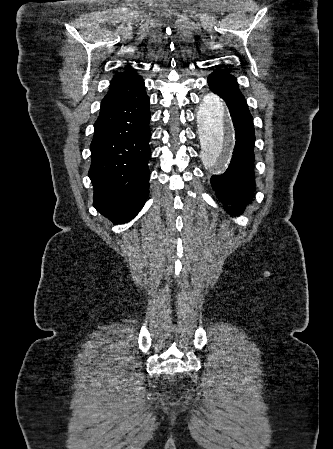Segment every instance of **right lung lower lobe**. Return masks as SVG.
<instances>
[{"instance_id": "obj_1", "label": "right lung lower lobe", "mask_w": 333, "mask_h": 449, "mask_svg": "<svg viewBox=\"0 0 333 449\" xmlns=\"http://www.w3.org/2000/svg\"><path fill=\"white\" fill-rule=\"evenodd\" d=\"M150 99L143 90L100 112L90 145L93 206L115 224L134 218L149 193Z\"/></svg>"}]
</instances>
